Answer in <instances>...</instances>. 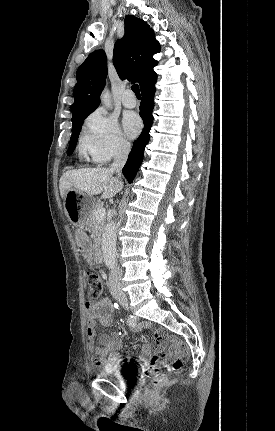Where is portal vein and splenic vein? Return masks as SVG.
<instances>
[{
    "mask_svg": "<svg viewBox=\"0 0 275 431\" xmlns=\"http://www.w3.org/2000/svg\"><path fill=\"white\" fill-rule=\"evenodd\" d=\"M105 215H106V210H105V208H103V207L98 208V209L96 210V212H95V217H96V219H98V220H102V219H104V218H105Z\"/></svg>",
    "mask_w": 275,
    "mask_h": 431,
    "instance_id": "1",
    "label": "portal vein and splenic vein"
}]
</instances>
